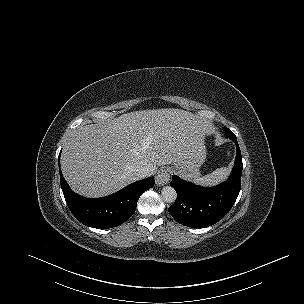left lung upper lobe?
<instances>
[{
	"mask_svg": "<svg viewBox=\"0 0 304 304\" xmlns=\"http://www.w3.org/2000/svg\"><path fill=\"white\" fill-rule=\"evenodd\" d=\"M225 132L231 140L237 139L236 136L228 128L225 129Z\"/></svg>",
	"mask_w": 304,
	"mask_h": 304,
	"instance_id": "left-lung-upper-lobe-1",
	"label": "left lung upper lobe"
}]
</instances>
